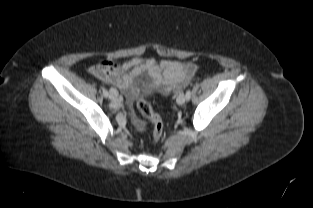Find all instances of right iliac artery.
<instances>
[{"instance_id": "obj_1", "label": "right iliac artery", "mask_w": 313, "mask_h": 208, "mask_svg": "<svg viewBox=\"0 0 313 208\" xmlns=\"http://www.w3.org/2000/svg\"><path fill=\"white\" fill-rule=\"evenodd\" d=\"M103 95H104L105 97L108 96V91H107L106 89L103 90Z\"/></svg>"}]
</instances>
